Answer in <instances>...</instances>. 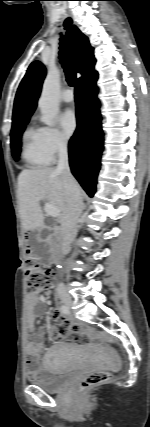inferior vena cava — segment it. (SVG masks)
<instances>
[{"mask_svg": "<svg viewBox=\"0 0 150 427\" xmlns=\"http://www.w3.org/2000/svg\"><path fill=\"white\" fill-rule=\"evenodd\" d=\"M56 171L62 175L66 189V207L61 219V251L65 255L70 251V244L76 237L78 220L83 209L80 190L70 171L67 144L65 142L58 144V165Z\"/></svg>", "mask_w": 150, "mask_h": 427, "instance_id": "1", "label": "inferior vena cava"}]
</instances>
